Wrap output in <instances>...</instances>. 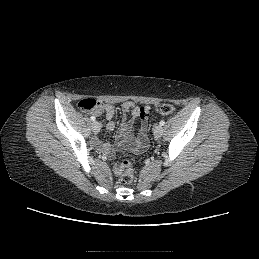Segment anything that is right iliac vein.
<instances>
[{
	"mask_svg": "<svg viewBox=\"0 0 259 259\" xmlns=\"http://www.w3.org/2000/svg\"><path fill=\"white\" fill-rule=\"evenodd\" d=\"M100 128H101V126H100V124H99L98 122H94V123L92 124V130H93V132L98 133V132L100 131Z\"/></svg>",
	"mask_w": 259,
	"mask_h": 259,
	"instance_id": "obj_1",
	"label": "right iliac vein"
}]
</instances>
